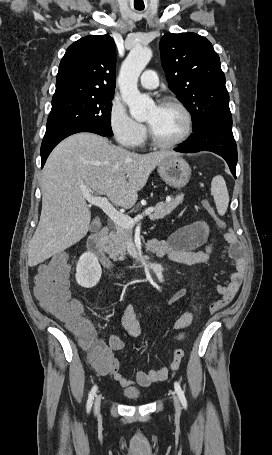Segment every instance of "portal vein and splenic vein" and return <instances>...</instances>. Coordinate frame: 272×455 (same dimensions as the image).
Masks as SVG:
<instances>
[{
  "label": "portal vein and splenic vein",
  "mask_w": 272,
  "mask_h": 455,
  "mask_svg": "<svg viewBox=\"0 0 272 455\" xmlns=\"http://www.w3.org/2000/svg\"><path fill=\"white\" fill-rule=\"evenodd\" d=\"M83 196L89 204L101 208L115 224L124 228H133L143 216L150 215L154 211L153 207H149L141 215L132 219L131 217L118 212L106 197L94 196L88 191L83 192Z\"/></svg>",
  "instance_id": "obj_1"
}]
</instances>
